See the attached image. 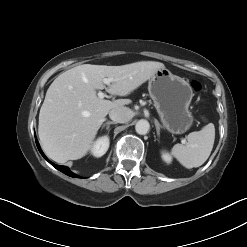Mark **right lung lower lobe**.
<instances>
[{"label": "right lung lower lobe", "mask_w": 247, "mask_h": 247, "mask_svg": "<svg viewBox=\"0 0 247 247\" xmlns=\"http://www.w3.org/2000/svg\"><path fill=\"white\" fill-rule=\"evenodd\" d=\"M36 144H37V147H38V150L40 151L41 155L52 165L54 166L56 169H58L59 171L63 172L64 174L68 175V176H71V177H76V178H79L76 174H74L73 172H71L66 166H61V165H56L54 163H52L51 161L48 160V158L44 155V153L42 152L40 146H39V143L36 139Z\"/></svg>", "instance_id": "98d812e1"}]
</instances>
